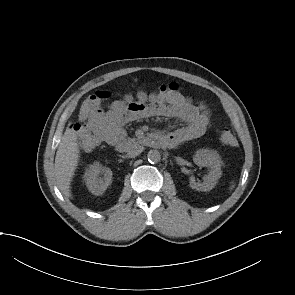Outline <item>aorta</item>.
I'll return each instance as SVG.
<instances>
[{
    "instance_id": "obj_1",
    "label": "aorta",
    "mask_w": 295,
    "mask_h": 295,
    "mask_svg": "<svg viewBox=\"0 0 295 295\" xmlns=\"http://www.w3.org/2000/svg\"><path fill=\"white\" fill-rule=\"evenodd\" d=\"M147 158L150 163H158L161 159V155L158 150H150L147 154Z\"/></svg>"
}]
</instances>
